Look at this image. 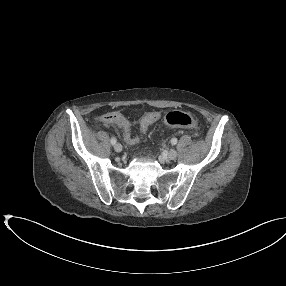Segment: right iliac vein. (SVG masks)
<instances>
[{"instance_id": "1", "label": "right iliac vein", "mask_w": 286, "mask_h": 286, "mask_svg": "<svg viewBox=\"0 0 286 286\" xmlns=\"http://www.w3.org/2000/svg\"><path fill=\"white\" fill-rule=\"evenodd\" d=\"M114 149L116 152H121L122 151V145L120 143H116L114 145Z\"/></svg>"}]
</instances>
